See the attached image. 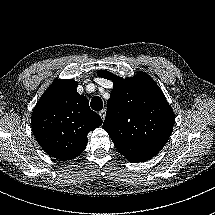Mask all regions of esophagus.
<instances>
[{
  "label": "esophagus",
  "mask_w": 215,
  "mask_h": 215,
  "mask_svg": "<svg viewBox=\"0 0 215 215\" xmlns=\"http://www.w3.org/2000/svg\"><path fill=\"white\" fill-rule=\"evenodd\" d=\"M99 115H100V117L102 118V120L104 121L105 116H106V109H102V110L99 112Z\"/></svg>",
  "instance_id": "1"
}]
</instances>
